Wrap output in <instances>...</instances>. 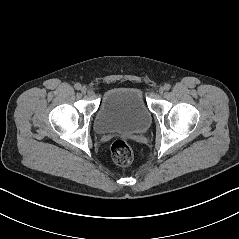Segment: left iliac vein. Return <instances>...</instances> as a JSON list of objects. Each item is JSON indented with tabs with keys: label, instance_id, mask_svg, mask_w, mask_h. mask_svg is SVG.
<instances>
[{
	"label": "left iliac vein",
	"instance_id": "4c4485c4",
	"mask_svg": "<svg viewBox=\"0 0 239 239\" xmlns=\"http://www.w3.org/2000/svg\"><path fill=\"white\" fill-rule=\"evenodd\" d=\"M164 90H165V88L163 86L160 87L159 90H158L159 94H162L164 92Z\"/></svg>",
	"mask_w": 239,
	"mask_h": 239
}]
</instances>
